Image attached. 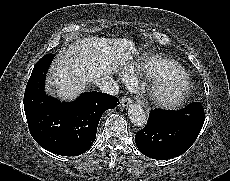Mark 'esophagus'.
<instances>
[{
  "instance_id": "obj_1",
  "label": "esophagus",
  "mask_w": 230,
  "mask_h": 181,
  "mask_svg": "<svg viewBox=\"0 0 230 181\" xmlns=\"http://www.w3.org/2000/svg\"><path fill=\"white\" fill-rule=\"evenodd\" d=\"M121 105L123 108H128V106L132 103V100L130 97L128 96H124L121 101H120Z\"/></svg>"
}]
</instances>
